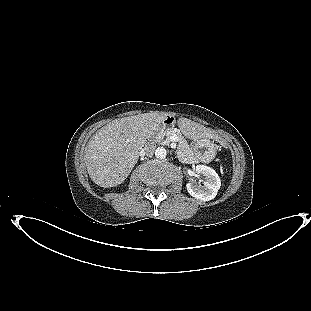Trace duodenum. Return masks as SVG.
<instances>
[{
  "instance_id": "obj_1",
  "label": "duodenum",
  "mask_w": 311,
  "mask_h": 311,
  "mask_svg": "<svg viewBox=\"0 0 311 311\" xmlns=\"http://www.w3.org/2000/svg\"><path fill=\"white\" fill-rule=\"evenodd\" d=\"M164 124H165L166 126H170V125L172 124V119L167 118V119L164 121Z\"/></svg>"
}]
</instances>
